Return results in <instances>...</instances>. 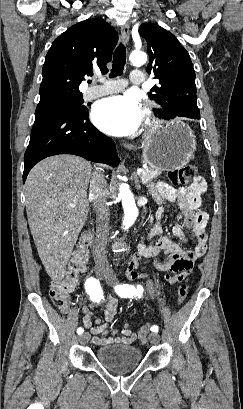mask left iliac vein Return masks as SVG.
Instances as JSON below:
<instances>
[{
  "instance_id": "1",
  "label": "left iliac vein",
  "mask_w": 243,
  "mask_h": 409,
  "mask_svg": "<svg viewBox=\"0 0 243 409\" xmlns=\"http://www.w3.org/2000/svg\"><path fill=\"white\" fill-rule=\"evenodd\" d=\"M105 280L107 284L110 285L111 287H114L118 283V280L114 274H108ZM159 340L160 336L157 333H151L149 335L150 343L157 344Z\"/></svg>"
}]
</instances>
